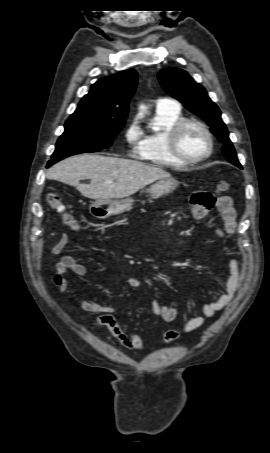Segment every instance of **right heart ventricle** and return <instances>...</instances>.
<instances>
[{
  "mask_svg": "<svg viewBox=\"0 0 270 453\" xmlns=\"http://www.w3.org/2000/svg\"><path fill=\"white\" fill-rule=\"evenodd\" d=\"M183 119L181 108L157 109L149 129L142 134L138 157L161 167L181 168L186 164L177 161L167 147V135L172 126Z\"/></svg>",
  "mask_w": 270,
  "mask_h": 453,
  "instance_id": "obj_1",
  "label": "right heart ventricle"
}]
</instances>
